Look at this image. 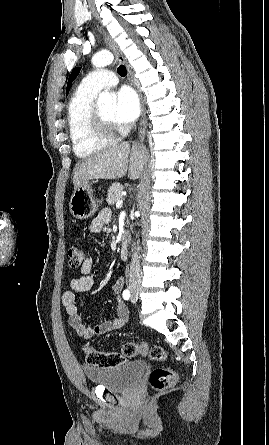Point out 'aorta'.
Wrapping results in <instances>:
<instances>
[{
    "label": "aorta",
    "mask_w": 269,
    "mask_h": 445,
    "mask_svg": "<svg viewBox=\"0 0 269 445\" xmlns=\"http://www.w3.org/2000/svg\"><path fill=\"white\" fill-rule=\"evenodd\" d=\"M114 60V56L109 51H101L96 53L92 57V64L95 67H104L110 65ZM116 98L114 95L109 94L107 92H102L98 97V107L99 108H108L112 107L115 104Z\"/></svg>",
    "instance_id": "aorta-1"
}]
</instances>
